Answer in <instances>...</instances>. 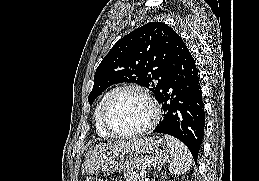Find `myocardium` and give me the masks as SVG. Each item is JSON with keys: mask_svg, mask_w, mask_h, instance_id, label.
<instances>
[{"mask_svg": "<svg viewBox=\"0 0 259 181\" xmlns=\"http://www.w3.org/2000/svg\"><path fill=\"white\" fill-rule=\"evenodd\" d=\"M125 91H136L140 93L148 102L151 109V118L147 122V124L141 129L132 131V132H118L111 127L108 121V114L113 101L119 94ZM160 116H161L160 108L156 100L154 99V97L146 87L139 84H126L114 89L106 99L101 111V122L104 128L108 131V133L111 136L127 139V138L139 137L146 134L148 131H150L152 128H154L157 125V123L160 120Z\"/></svg>", "mask_w": 259, "mask_h": 181, "instance_id": "obj_1", "label": "myocardium"}]
</instances>
